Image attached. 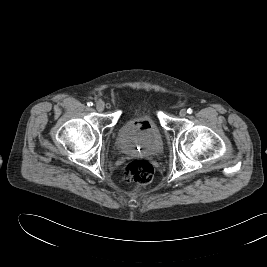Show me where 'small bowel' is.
Instances as JSON below:
<instances>
[{"label": "small bowel", "instance_id": "c3829d8e", "mask_svg": "<svg viewBox=\"0 0 267 267\" xmlns=\"http://www.w3.org/2000/svg\"><path fill=\"white\" fill-rule=\"evenodd\" d=\"M137 126L142 131H147L151 129V123L148 120L138 121Z\"/></svg>", "mask_w": 267, "mask_h": 267}]
</instances>
